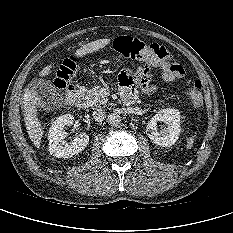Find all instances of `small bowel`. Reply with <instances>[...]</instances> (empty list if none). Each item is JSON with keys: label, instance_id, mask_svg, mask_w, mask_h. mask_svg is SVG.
Wrapping results in <instances>:
<instances>
[{"label": "small bowel", "instance_id": "c3829d8e", "mask_svg": "<svg viewBox=\"0 0 233 233\" xmlns=\"http://www.w3.org/2000/svg\"><path fill=\"white\" fill-rule=\"evenodd\" d=\"M153 74V67L149 63H142L135 71V78L141 90H152L151 83L148 81ZM121 93L125 98L128 95L135 96L134 75L130 71H123L119 75Z\"/></svg>", "mask_w": 233, "mask_h": 233}]
</instances>
